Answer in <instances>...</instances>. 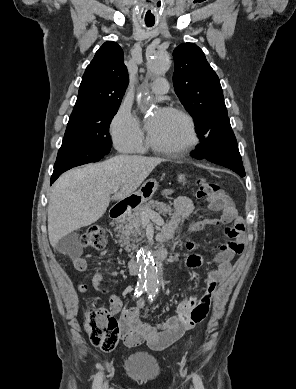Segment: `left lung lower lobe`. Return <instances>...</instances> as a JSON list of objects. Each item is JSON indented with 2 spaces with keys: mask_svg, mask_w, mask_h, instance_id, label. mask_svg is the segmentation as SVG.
<instances>
[{
  "mask_svg": "<svg viewBox=\"0 0 296 389\" xmlns=\"http://www.w3.org/2000/svg\"><path fill=\"white\" fill-rule=\"evenodd\" d=\"M190 155L196 159H206L212 163L227 167L241 177L245 176L238 144L229 119L215 125L209 133L200 139Z\"/></svg>",
  "mask_w": 296,
  "mask_h": 389,
  "instance_id": "left-lung-lower-lobe-1",
  "label": "left lung lower lobe"
}]
</instances>
